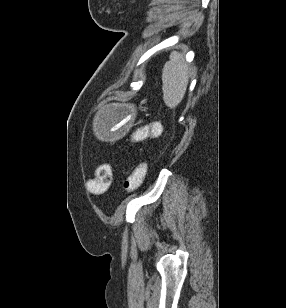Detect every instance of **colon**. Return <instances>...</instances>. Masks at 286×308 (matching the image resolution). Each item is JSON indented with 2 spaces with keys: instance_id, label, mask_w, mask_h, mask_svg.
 Returning <instances> with one entry per match:
<instances>
[{
  "instance_id": "1",
  "label": "colon",
  "mask_w": 286,
  "mask_h": 308,
  "mask_svg": "<svg viewBox=\"0 0 286 308\" xmlns=\"http://www.w3.org/2000/svg\"><path fill=\"white\" fill-rule=\"evenodd\" d=\"M160 133V124L149 123L147 126L139 127L135 129L130 135V141L140 142L147 139L150 136H156ZM147 164L141 162L137 164L133 170L129 173L124 181V190L128 193L137 190L146 175ZM113 170L109 163H102L96 169V174L93 179L87 181L86 186L89 191L93 193L106 192L112 182Z\"/></svg>"
}]
</instances>
